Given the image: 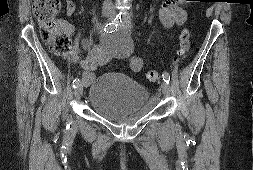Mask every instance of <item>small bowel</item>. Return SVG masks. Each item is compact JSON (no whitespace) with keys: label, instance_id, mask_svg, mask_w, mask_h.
Returning a JSON list of instances; mask_svg holds the SVG:
<instances>
[{"label":"small bowel","instance_id":"obj_1","mask_svg":"<svg viewBox=\"0 0 253 170\" xmlns=\"http://www.w3.org/2000/svg\"><path fill=\"white\" fill-rule=\"evenodd\" d=\"M184 2L185 0H164L159 10V17L165 27L170 28L174 25L180 26L185 22L187 14L182 8ZM65 10L68 16L73 15L76 10L75 3L66 0ZM60 27L67 34H73L75 31L74 26L66 20L60 21ZM81 45L88 52L81 63V67L84 69L82 80L84 81V85H88L93 79V71L97 69V67L107 63L115 56V53L101 45L94 44L89 38L82 39ZM75 59V54L69 57L70 62H74ZM128 64L133 72H140L144 68L143 60L137 55L128 56Z\"/></svg>","mask_w":253,"mask_h":170}]
</instances>
